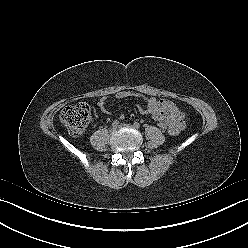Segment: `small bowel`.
Masks as SVG:
<instances>
[{
  "mask_svg": "<svg viewBox=\"0 0 248 248\" xmlns=\"http://www.w3.org/2000/svg\"><path fill=\"white\" fill-rule=\"evenodd\" d=\"M115 99L122 100L127 98H138L145 102V107H138L141 114L151 115L155 121H166L169 125V132L173 135L178 134L184 128L185 114L176 104L167 99L157 100L155 98L146 97L143 94L132 90H122L115 94ZM107 98L102 97L98 101V106L103 112L106 109Z\"/></svg>",
  "mask_w": 248,
  "mask_h": 248,
  "instance_id": "small-bowel-1",
  "label": "small bowel"
}]
</instances>
